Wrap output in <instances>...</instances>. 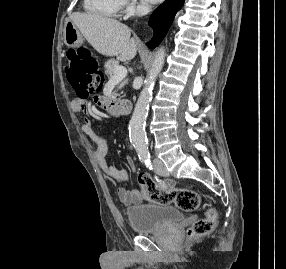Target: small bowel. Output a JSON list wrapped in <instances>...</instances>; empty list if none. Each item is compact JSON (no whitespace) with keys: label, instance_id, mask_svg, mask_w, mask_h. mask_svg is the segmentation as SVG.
<instances>
[{"label":"small bowel","instance_id":"obj_1","mask_svg":"<svg viewBox=\"0 0 286 269\" xmlns=\"http://www.w3.org/2000/svg\"><path fill=\"white\" fill-rule=\"evenodd\" d=\"M106 94H94V99H106ZM97 106H100L101 110L105 109V106H109V101H97ZM71 108L73 112L83 115L82 131L84 134L96 144L95 160L105 175L116 186V193L121 202L126 204L139 202L138 192L134 189L125 188L123 185L129 180V173L126 170H121L115 166L108 164L106 156L108 152V144L105 138L98 133L91 120L92 109L86 102V96H78L72 101ZM107 115L110 120H117L115 111H108ZM125 161L129 168L134 171L135 164L131 157L126 156Z\"/></svg>","mask_w":286,"mask_h":269}]
</instances>
